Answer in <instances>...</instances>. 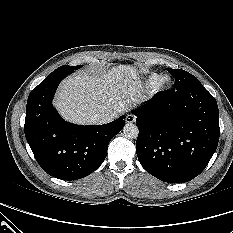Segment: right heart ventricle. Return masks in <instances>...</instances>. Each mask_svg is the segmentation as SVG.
<instances>
[{"instance_id": "e07e8e85", "label": "right heart ventricle", "mask_w": 233, "mask_h": 233, "mask_svg": "<svg viewBox=\"0 0 233 233\" xmlns=\"http://www.w3.org/2000/svg\"><path fill=\"white\" fill-rule=\"evenodd\" d=\"M159 78H160V75L157 73L150 74L145 81L146 86L148 88H154Z\"/></svg>"}]
</instances>
